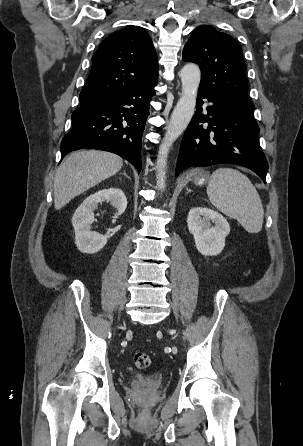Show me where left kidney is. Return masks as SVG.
Masks as SVG:
<instances>
[{"mask_svg":"<svg viewBox=\"0 0 303 446\" xmlns=\"http://www.w3.org/2000/svg\"><path fill=\"white\" fill-rule=\"evenodd\" d=\"M211 221L214 226H211ZM187 225L202 255L216 256L224 249L230 226L220 213L207 207L192 208L188 213Z\"/></svg>","mask_w":303,"mask_h":446,"instance_id":"left-kidney-1","label":"left kidney"}]
</instances>
